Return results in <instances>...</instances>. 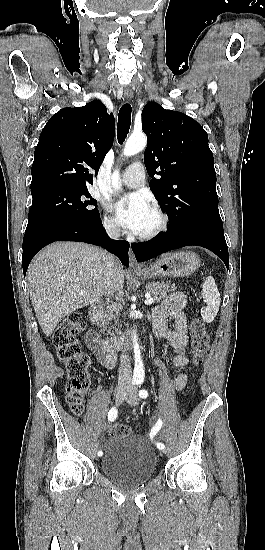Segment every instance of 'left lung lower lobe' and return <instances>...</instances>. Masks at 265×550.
Wrapping results in <instances>:
<instances>
[{"instance_id":"obj_1","label":"left lung lower lobe","mask_w":265,"mask_h":550,"mask_svg":"<svg viewBox=\"0 0 265 550\" xmlns=\"http://www.w3.org/2000/svg\"><path fill=\"white\" fill-rule=\"evenodd\" d=\"M189 245L209 249L223 260L228 269L229 254L224 232L203 225L190 224L168 229L154 241L133 243L132 249L136 260L143 262L169 250Z\"/></svg>"}]
</instances>
